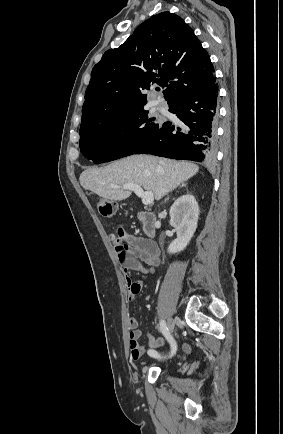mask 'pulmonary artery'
<instances>
[{
  "mask_svg": "<svg viewBox=\"0 0 283 434\" xmlns=\"http://www.w3.org/2000/svg\"><path fill=\"white\" fill-rule=\"evenodd\" d=\"M156 109L158 110V111H164V107L162 106V105H157L156 106Z\"/></svg>",
  "mask_w": 283,
  "mask_h": 434,
  "instance_id": "e3ab8cb5",
  "label": "pulmonary artery"
}]
</instances>
